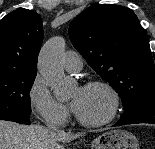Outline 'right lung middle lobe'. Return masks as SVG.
<instances>
[{
    "mask_svg": "<svg viewBox=\"0 0 155 149\" xmlns=\"http://www.w3.org/2000/svg\"><path fill=\"white\" fill-rule=\"evenodd\" d=\"M37 72L0 73V120L30 123L29 91Z\"/></svg>",
    "mask_w": 155,
    "mask_h": 149,
    "instance_id": "1",
    "label": "right lung middle lobe"
}]
</instances>
